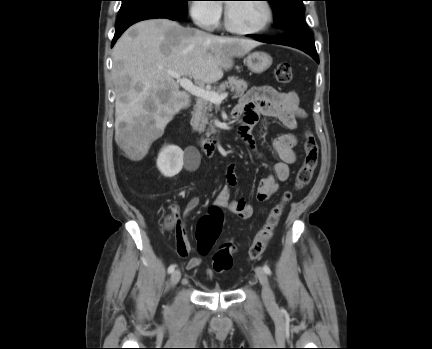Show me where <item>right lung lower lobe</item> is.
Here are the masks:
<instances>
[{
  "mask_svg": "<svg viewBox=\"0 0 432 349\" xmlns=\"http://www.w3.org/2000/svg\"><path fill=\"white\" fill-rule=\"evenodd\" d=\"M156 18H166L170 20H176L177 18L165 13H162L160 11H141L137 12L128 16H124L121 18H118L116 25H115V35L112 40V45L115 44L117 39L121 36V34L132 24L147 20V19H156Z\"/></svg>",
  "mask_w": 432,
  "mask_h": 349,
  "instance_id": "right-lung-lower-lobe-1",
  "label": "right lung lower lobe"
}]
</instances>
